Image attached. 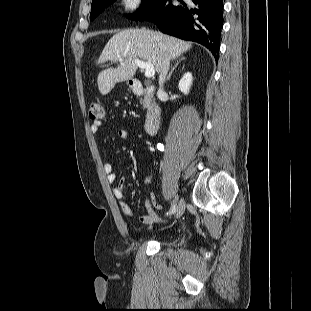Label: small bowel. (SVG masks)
<instances>
[{"mask_svg": "<svg viewBox=\"0 0 311 311\" xmlns=\"http://www.w3.org/2000/svg\"><path fill=\"white\" fill-rule=\"evenodd\" d=\"M102 123L100 121H95L94 123L91 124L90 126V131L93 134L98 133L101 130ZM117 136L120 139H127L130 137V133L125 131V130H119L117 132ZM103 170L106 174L107 181L109 183H114L117 181V175L114 172L113 164L111 162H106L103 165ZM150 178H147L145 183L150 182ZM124 185H125V180L120 179L118 184L113 188V193L115 197L119 200L120 208L122 212L126 215L131 217L133 215L132 209L129 206V204L125 200V194H124ZM145 206H146V213L141 215L139 218V221L144 224V225H151L154 222H163V220L157 215L155 212V204L154 202L149 198H145Z\"/></svg>", "mask_w": 311, "mask_h": 311, "instance_id": "1", "label": "small bowel"}]
</instances>
